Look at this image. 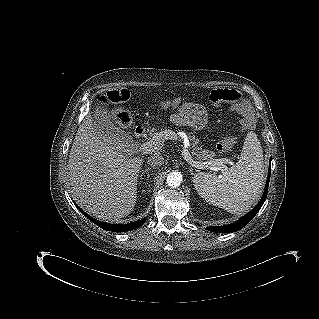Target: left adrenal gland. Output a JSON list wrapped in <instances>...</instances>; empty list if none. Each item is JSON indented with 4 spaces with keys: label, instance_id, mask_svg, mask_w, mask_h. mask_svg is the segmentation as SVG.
Returning <instances> with one entry per match:
<instances>
[{
    "label": "left adrenal gland",
    "instance_id": "a2214340",
    "mask_svg": "<svg viewBox=\"0 0 319 319\" xmlns=\"http://www.w3.org/2000/svg\"><path fill=\"white\" fill-rule=\"evenodd\" d=\"M189 170H190L191 175H193V169H192V167L189 168Z\"/></svg>",
    "mask_w": 319,
    "mask_h": 319
}]
</instances>
